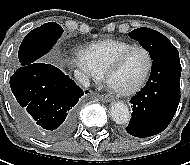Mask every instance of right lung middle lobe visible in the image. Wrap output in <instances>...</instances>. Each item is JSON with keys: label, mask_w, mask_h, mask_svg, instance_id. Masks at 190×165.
<instances>
[{"label": "right lung middle lobe", "mask_w": 190, "mask_h": 165, "mask_svg": "<svg viewBox=\"0 0 190 165\" xmlns=\"http://www.w3.org/2000/svg\"><path fill=\"white\" fill-rule=\"evenodd\" d=\"M63 29L55 22L45 23L30 31L23 39L18 58L20 67L39 61L62 35Z\"/></svg>", "instance_id": "right-lung-middle-lobe-1"}]
</instances>
